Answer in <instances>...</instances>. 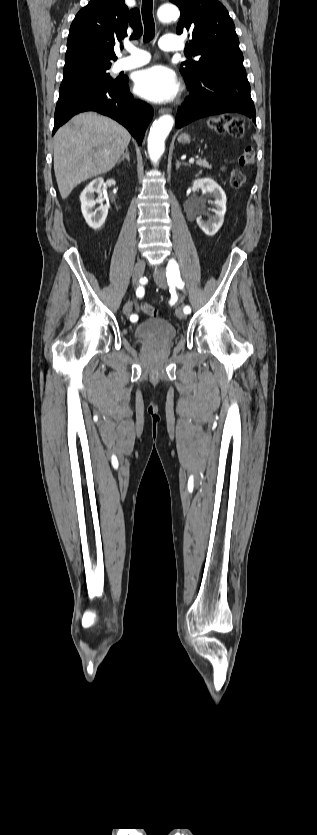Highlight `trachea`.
Returning <instances> with one entry per match:
<instances>
[{
	"mask_svg": "<svg viewBox=\"0 0 317 835\" xmlns=\"http://www.w3.org/2000/svg\"><path fill=\"white\" fill-rule=\"evenodd\" d=\"M153 0L142 1V19L144 23L145 33L143 36L144 42L151 41L155 36V23L152 14Z\"/></svg>",
	"mask_w": 317,
	"mask_h": 835,
	"instance_id": "1",
	"label": "trachea"
}]
</instances>
